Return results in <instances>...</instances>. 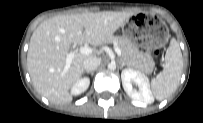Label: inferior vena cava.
I'll use <instances>...</instances> for the list:
<instances>
[{"label":"inferior vena cava","mask_w":203,"mask_h":123,"mask_svg":"<svg viewBox=\"0 0 203 123\" xmlns=\"http://www.w3.org/2000/svg\"><path fill=\"white\" fill-rule=\"evenodd\" d=\"M101 64V58L90 57L83 61V68L86 71H94Z\"/></svg>","instance_id":"obj_1"}]
</instances>
